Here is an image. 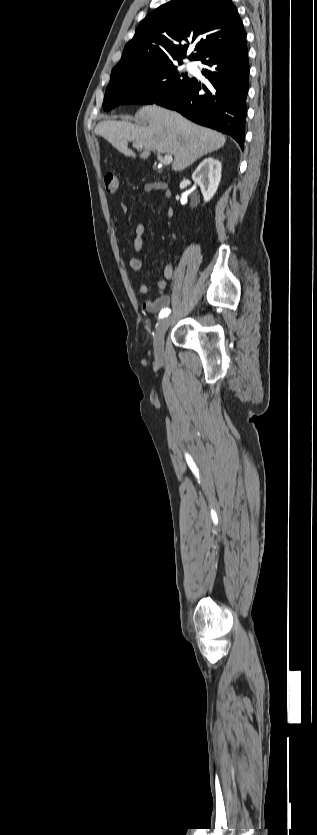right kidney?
Listing matches in <instances>:
<instances>
[{
	"label": "right kidney",
	"mask_w": 317,
	"mask_h": 835,
	"mask_svg": "<svg viewBox=\"0 0 317 835\" xmlns=\"http://www.w3.org/2000/svg\"><path fill=\"white\" fill-rule=\"evenodd\" d=\"M192 180L200 187L204 201H210L221 180V162L213 157L204 159L193 172Z\"/></svg>",
	"instance_id": "obj_1"
}]
</instances>
